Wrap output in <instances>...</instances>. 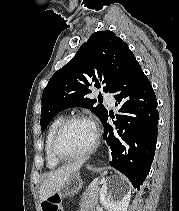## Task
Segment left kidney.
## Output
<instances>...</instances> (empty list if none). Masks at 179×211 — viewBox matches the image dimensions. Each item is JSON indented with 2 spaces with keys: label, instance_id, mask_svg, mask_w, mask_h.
<instances>
[{
  "label": "left kidney",
  "instance_id": "left-kidney-1",
  "mask_svg": "<svg viewBox=\"0 0 179 211\" xmlns=\"http://www.w3.org/2000/svg\"><path fill=\"white\" fill-rule=\"evenodd\" d=\"M113 192L115 195L113 196ZM131 192L122 184L113 181L104 182L100 190V203L109 211H127Z\"/></svg>",
  "mask_w": 179,
  "mask_h": 211
}]
</instances>
